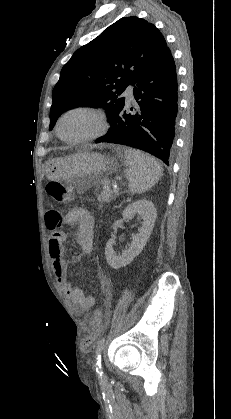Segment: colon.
<instances>
[{"mask_svg":"<svg viewBox=\"0 0 231 419\" xmlns=\"http://www.w3.org/2000/svg\"><path fill=\"white\" fill-rule=\"evenodd\" d=\"M48 194L60 205H66L71 200L70 188L60 182H51L47 185ZM103 330L102 316L99 310H95L92 317V331L86 339L85 344L88 345L95 341Z\"/></svg>","mask_w":231,"mask_h":419,"instance_id":"1","label":"colon"}]
</instances>
